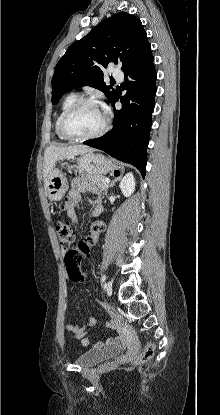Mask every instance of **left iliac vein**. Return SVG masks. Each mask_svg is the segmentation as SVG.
Instances as JSON below:
<instances>
[{
	"mask_svg": "<svg viewBox=\"0 0 220 415\" xmlns=\"http://www.w3.org/2000/svg\"><path fill=\"white\" fill-rule=\"evenodd\" d=\"M105 290H106V293H107L108 295H111V294H112L113 287H112V282H111V281H108V282L105 284Z\"/></svg>",
	"mask_w": 220,
	"mask_h": 415,
	"instance_id": "left-iliac-vein-1",
	"label": "left iliac vein"
}]
</instances>
